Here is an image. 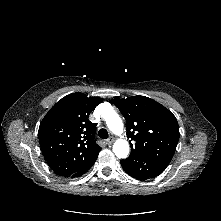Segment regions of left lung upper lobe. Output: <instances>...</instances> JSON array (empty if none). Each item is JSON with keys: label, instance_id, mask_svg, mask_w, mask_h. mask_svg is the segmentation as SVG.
Returning <instances> with one entry per match:
<instances>
[{"label": "left lung upper lobe", "instance_id": "left-lung-upper-lobe-1", "mask_svg": "<svg viewBox=\"0 0 221 221\" xmlns=\"http://www.w3.org/2000/svg\"><path fill=\"white\" fill-rule=\"evenodd\" d=\"M112 101L126 119L131 146L128 158L169 164L179 140V126L172 112L145 96Z\"/></svg>", "mask_w": 221, "mask_h": 221}]
</instances>
